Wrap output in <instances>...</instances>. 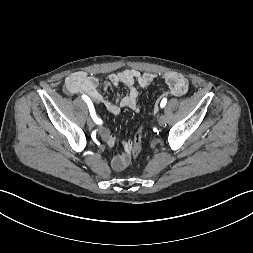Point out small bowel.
I'll list each match as a JSON object with an SVG mask.
<instances>
[{"instance_id": "obj_1", "label": "small bowel", "mask_w": 253, "mask_h": 253, "mask_svg": "<svg viewBox=\"0 0 253 253\" xmlns=\"http://www.w3.org/2000/svg\"><path fill=\"white\" fill-rule=\"evenodd\" d=\"M160 77L169 87V94L173 96H183L188 91V81L180 73L170 71L160 74L140 73L135 69H124L111 73L108 79L101 84L98 78L89 75L84 71H76L68 75L65 79L64 89L67 94H83L91 98L96 104H103L108 112L119 115L123 108L139 112L138 96L140 88H147ZM124 85L128 88L126 95L118 94L114 101L107 99L104 92L110 87ZM101 138L108 146L115 148L121 146L123 153L118 154L112 160V168L116 171L123 170L129 163V151L131 141H119L108 128L99 129Z\"/></svg>"}]
</instances>
